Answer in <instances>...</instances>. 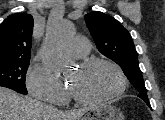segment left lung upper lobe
Returning a JSON list of instances; mask_svg holds the SVG:
<instances>
[{"instance_id":"left-lung-upper-lobe-1","label":"left lung upper lobe","mask_w":165,"mask_h":120,"mask_svg":"<svg viewBox=\"0 0 165 120\" xmlns=\"http://www.w3.org/2000/svg\"><path fill=\"white\" fill-rule=\"evenodd\" d=\"M86 25L100 53L116 62L148 106L137 52L129 32L113 17L99 11L85 15Z\"/></svg>"}]
</instances>
